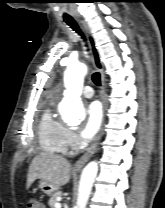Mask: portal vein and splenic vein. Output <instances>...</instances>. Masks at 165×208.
I'll list each match as a JSON object with an SVG mask.
<instances>
[{"label": "portal vein and splenic vein", "instance_id": "1", "mask_svg": "<svg viewBox=\"0 0 165 208\" xmlns=\"http://www.w3.org/2000/svg\"><path fill=\"white\" fill-rule=\"evenodd\" d=\"M55 208H61V204L60 203H56L55 204Z\"/></svg>", "mask_w": 165, "mask_h": 208}]
</instances>
